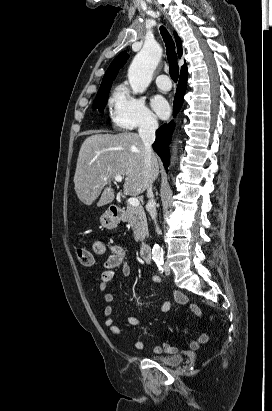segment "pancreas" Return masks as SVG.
<instances>
[{
	"mask_svg": "<svg viewBox=\"0 0 272 411\" xmlns=\"http://www.w3.org/2000/svg\"><path fill=\"white\" fill-rule=\"evenodd\" d=\"M122 220L131 226L135 241L143 240L145 238L148 233V226L146 214L142 206L133 207L129 204Z\"/></svg>",
	"mask_w": 272,
	"mask_h": 411,
	"instance_id": "pancreas-1",
	"label": "pancreas"
}]
</instances>
